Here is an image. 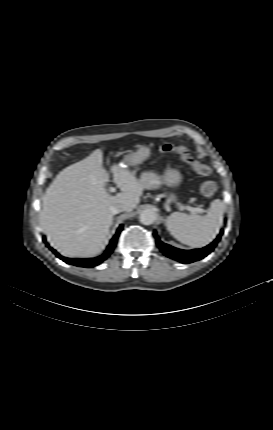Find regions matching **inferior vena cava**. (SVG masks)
Listing matches in <instances>:
<instances>
[{
  "mask_svg": "<svg viewBox=\"0 0 273 430\" xmlns=\"http://www.w3.org/2000/svg\"><path fill=\"white\" fill-rule=\"evenodd\" d=\"M112 214H118L120 212L126 211V205L123 203H116L110 207Z\"/></svg>",
  "mask_w": 273,
  "mask_h": 430,
  "instance_id": "inferior-vena-cava-1",
  "label": "inferior vena cava"
}]
</instances>
